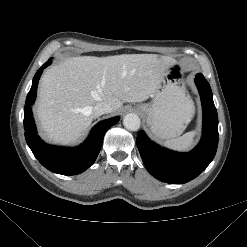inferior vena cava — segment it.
<instances>
[{
	"label": "inferior vena cava",
	"instance_id": "inferior-vena-cava-1",
	"mask_svg": "<svg viewBox=\"0 0 247 247\" xmlns=\"http://www.w3.org/2000/svg\"><path fill=\"white\" fill-rule=\"evenodd\" d=\"M113 112V107L104 102H98L91 110V116L97 118L103 114Z\"/></svg>",
	"mask_w": 247,
	"mask_h": 247
}]
</instances>
